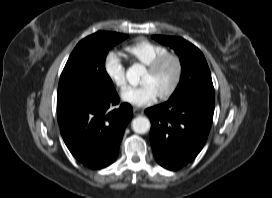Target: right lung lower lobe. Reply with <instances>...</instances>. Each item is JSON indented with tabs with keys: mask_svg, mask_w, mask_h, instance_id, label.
<instances>
[{
	"mask_svg": "<svg viewBox=\"0 0 272 198\" xmlns=\"http://www.w3.org/2000/svg\"><path fill=\"white\" fill-rule=\"evenodd\" d=\"M119 102L116 91L106 97H82L57 104L61 135L70 152L84 165L101 169L115 161L132 107Z\"/></svg>",
	"mask_w": 272,
	"mask_h": 198,
	"instance_id": "right-lung-lower-lobe-1",
	"label": "right lung lower lobe"
}]
</instances>
